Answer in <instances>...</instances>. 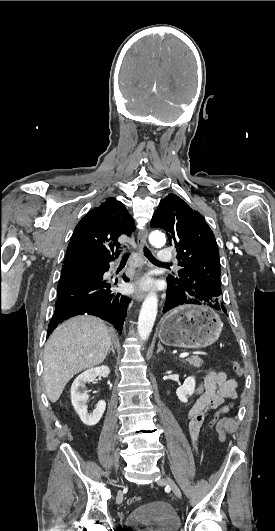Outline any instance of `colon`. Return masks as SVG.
<instances>
[{
  "instance_id": "obj_1",
  "label": "colon",
  "mask_w": 275,
  "mask_h": 531,
  "mask_svg": "<svg viewBox=\"0 0 275 531\" xmlns=\"http://www.w3.org/2000/svg\"><path fill=\"white\" fill-rule=\"evenodd\" d=\"M232 367L235 373H237L238 375L243 374V368L239 362H233ZM220 418H221V415L219 413H216L214 416L209 418L208 429H207V432L209 434H212L214 430L217 428ZM139 500H140L139 496H133L132 498L128 500V503L132 505V504L137 503Z\"/></svg>"
}]
</instances>
